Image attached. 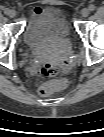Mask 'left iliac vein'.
Listing matches in <instances>:
<instances>
[{
	"instance_id": "4c4485c4",
	"label": "left iliac vein",
	"mask_w": 104,
	"mask_h": 137,
	"mask_svg": "<svg viewBox=\"0 0 104 137\" xmlns=\"http://www.w3.org/2000/svg\"><path fill=\"white\" fill-rule=\"evenodd\" d=\"M89 14H90V11H89L88 8H83V9L81 10V16H82V17L86 18V17L89 16Z\"/></svg>"
}]
</instances>
